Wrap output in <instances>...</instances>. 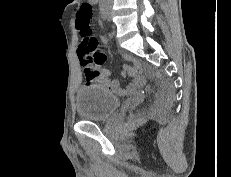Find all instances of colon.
Returning <instances> with one entry per match:
<instances>
[{
    "label": "colon",
    "instance_id": "obj_1",
    "mask_svg": "<svg viewBox=\"0 0 231 177\" xmlns=\"http://www.w3.org/2000/svg\"><path fill=\"white\" fill-rule=\"evenodd\" d=\"M92 14V6L88 3H83L77 15V26L82 36L78 56L81 65L85 68V74L89 77L97 75V70L94 66L103 63L105 60L104 54L99 50L98 41L92 34Z\"/></svg>",
    "mask_w": 231,
    "mask_h": 177
}]
</instances>
